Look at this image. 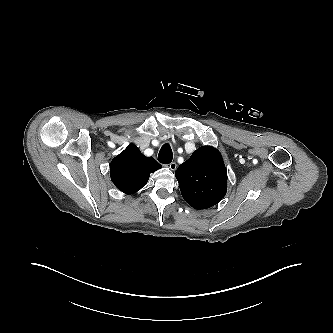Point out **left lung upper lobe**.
<instances>
[{
	"label": "left lung upper lobe",
	"mask_w": 333,
	"mask_h": 333,
	"mask_svg": "<svg viewBox=\"0 0 333 333\" xmlns=\"http://www.w3.org/2000/svg\"><path fill=\"white\" fill-rule=\"evenodd\" d=\"M175 176L183 198L195 209L216 205L227 191V170L220 152L211 146L194 151Z\"/></svg>",
	"instance_id": "5c2ea615"
}]
</instances>
